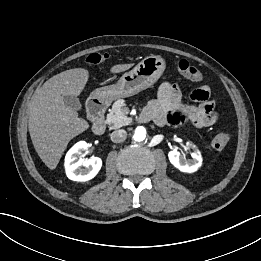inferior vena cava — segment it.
Instances as JSON below:
<instances>
[{"label":"inferior vena cava","instance_id":"1","mask_svg":"<svg viewBox=\"0 0 261 261\" xmlns=\"http://www.w3.org/2000/svg\"><path fill=\"white\" fill-rule=\"evenodd\" d=\"M127 132L123 129L115 130L110 134L111 141L114 143H120L125 141Z\"/></svg>","mask_w":261,"mask_h":261}]
</instances>
